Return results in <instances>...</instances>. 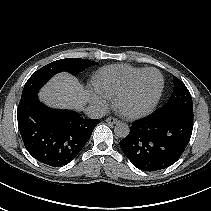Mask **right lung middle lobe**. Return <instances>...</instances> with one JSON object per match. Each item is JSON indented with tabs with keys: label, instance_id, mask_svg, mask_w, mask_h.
Here are the masks:
<instances>
[{
	"label": "right lung middle lobe",
	"instance_id": "obj_1",
	"mask_svg": "<svg viewBox=\"0 0 211 211\" xmlns=\"http://www.w3.org/2000/svg\"><path fill=\"white\" fill-rule=\"evenodd\" d=\"M96 62L80 58H67L51 62L37 70L26 82L21 99L37 93L39 89L55 74L66 71L76 75L83 69L95 65Z\"/></svg>",
	"mask_w": 211,
	"mask_h": 211
}]
</instances>
